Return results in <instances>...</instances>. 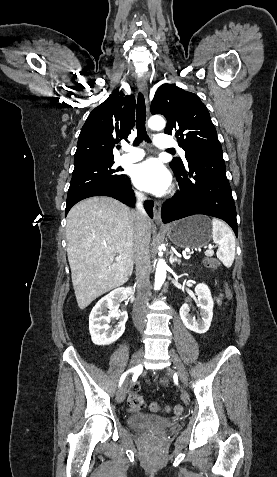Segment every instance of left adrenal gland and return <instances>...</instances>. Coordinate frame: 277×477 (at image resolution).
<instances>
[{
    "label": "left adrenal gland",
    "instance_id": "left-adrenal-gland-1",
    "mask_svg": "<svg viewBox=\"0 0 277 477\" xmlns=\"http://www.w3.org/2000/svg\"><path fill=\"white\" fill-rule=\"evenodd\" d=\"M170 253H171L170 258H169L170 264L173 265V263H175V262L178 263V264H180V263H181V260L178 259L177 257H175V256H174V253H173L172 251H171Z\"/></svg>",
    "mask_w": 277,
    "mask_h": 477
}]
</instances>
